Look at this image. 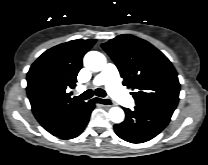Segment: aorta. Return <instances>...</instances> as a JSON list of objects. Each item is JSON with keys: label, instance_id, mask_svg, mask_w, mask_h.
<instances>
[{"label": "aorta", "instance_id": "762f6f07", "mask_svg": "<svg viewBox=\"0 0 208 165\" xmlns=\"http://www.w3.org/2000/svg\"><path fill=\"white\" fill-rule=\"evenodd\" d=\"M84 65L91 71L98 72L105 68L106 58L97 51H90L84 56ZM124 111L120 107H112L109 110V118L114 123H121L124 120Z\"/></svg>", "mask_w": 208, "mask_h": 165}]
</instances>
